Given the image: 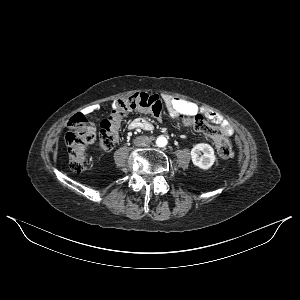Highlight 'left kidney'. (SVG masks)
<instances>
[{"label":"left kidney","mask_w":300,"mask_h":300,"mask_svg":"<svg viewBox=\"0 0 300 300\" xmlns=\"http://www.w3.org/2000/svg\"><path fill=\"white\" fill-rule=\"evenodd\" d=\"M191 159L194 165L208 170L214 164L216 157L213 148L206 143L196 144L191 150Z\"/></svg>","instance_id":"5707ae66"}]
</instances>
